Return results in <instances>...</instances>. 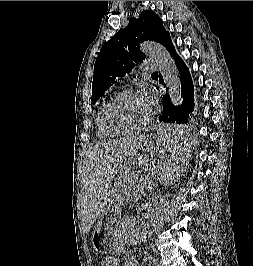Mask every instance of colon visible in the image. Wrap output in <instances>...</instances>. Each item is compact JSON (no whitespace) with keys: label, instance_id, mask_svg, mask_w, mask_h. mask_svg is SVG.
Masks as SVG:
<instances>
[{"label":"colon","instance_id":"obj_1","mask_svg":"<svg viewBox=\"0 0 253 266\" xmlns=\"http://www.w3.org/2000/svg\"><path fill=\"white\" fill-rule=\"evenodd\" d=\"M106 265H107V266H115L116 263H115V262H108Z\"/></svg>","mask_w":253,"mask_h":266}]
</instances>
